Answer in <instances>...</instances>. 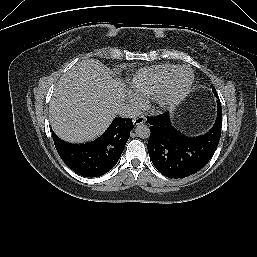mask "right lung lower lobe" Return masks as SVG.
<instances>
[{
	"instance_id": "1",
	"label": "right lung lower lobe",
	"mask_w": 257,
	"mask_h": 257,
	"mask_svg": "<svg viewBox=\"0 0 257 257\" xmlns=\"http://www.w3.org/2000/svg\"><path fill=\"white\" fill-rule=\"evenodd\" d=\"M132 129L130 118H115L100 137L86 144L66 143L54 132L52 137L58 154L71 170L83 177H99L115 166Z\"/></svg>"
}]
</instances>
